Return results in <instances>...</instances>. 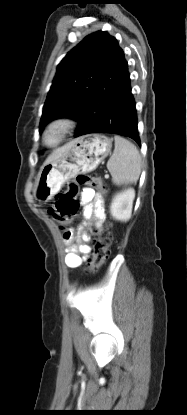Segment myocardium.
Returning a JSON list of instances; mask_svg holds the SVG:
<instances>
[{
	"instance_id": "obj_1",
	"label": "myocardium",
	"mask_w": 187,
	"mask_h": 415,
	"mask_svg": "<svg viewBox=\"0 0 187 415\" xmlns=\"http://www.w3.org/2000/svg\"><path fill=\"white\" fill-rule=\"evenodd\" d=\"M74 126L75 121L69 117L54 118L43 130L42 143L47 147L59 146L66 140Z\"/></svg>"
}]
</instances>
